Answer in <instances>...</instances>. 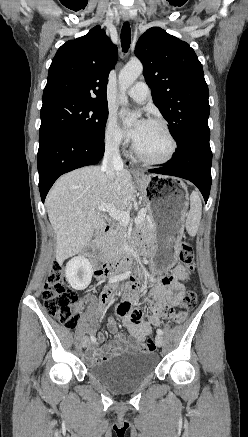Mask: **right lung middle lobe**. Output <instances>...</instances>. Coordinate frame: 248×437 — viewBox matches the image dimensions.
Instances as JSON below:
<instances>
[{"mask_svg": "<svg viewBox=\"0 0 248 437\" xmlns=\"http://www.w3.org/2000/svg\"><path fill=\"white\" fill-rule=\"evenodd\" d=\"M108 106L58 96L43 99L40 132L64 128L94 140L103 141Z\"/></svg>", "mask_w": 248, "mask_h": 437, "instance_id": "obj_1", "label": "right lung middle lobe"}]
</instances>
